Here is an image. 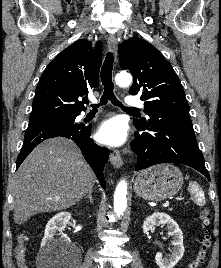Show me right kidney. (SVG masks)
<instances>
[{"mask_svg": "<svg viewBox=\"0 0 221 268\" xmlns=\"http://www.w3.org/2000/svg\"><path fill=\"white\" fill-rule=\"evenodd\" d=\"M70 219L71 214L68 212H61L52 217L46 225L41 246L45 248H50L55 241L57 242V240L54 239V236L58 231L61 235L58 240L65 244H69L71 241L69 237L63 234V230L66 228V225Z\"/></svg>", "mask_w": 221, "mask_h": 268, "instance_id": "ca27d5eb", "label": "right kidney"}]
</instances>
